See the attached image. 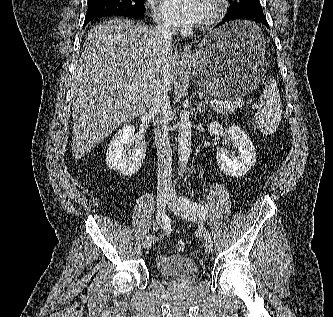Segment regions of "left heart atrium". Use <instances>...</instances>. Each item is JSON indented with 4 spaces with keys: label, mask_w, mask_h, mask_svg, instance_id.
I'll use <instances>...</instances> for the list:
<instances>
[{
    "label": "left heart atrium",
    "mask_w": 333,
    "mask_h": 317,
    "mask_svg": "<svg viewBox=\"0 0 333 317\" xmlns=\"http://www.w3.org/2000/svg\"><path fill=\"white\" fill-rule=\"evenodd\" d=\"M202 0H161L163 17L175 26H190L199 22Z\"/></svg>",
    "instance_id": "39dd6f15"
}]
</instances>
